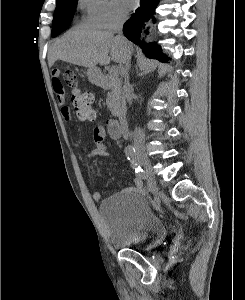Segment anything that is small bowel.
<instances>
[{"mask_svg": "<svg viewBox=\"0 0 245 300\" xmlns=\"http://www.w3.org/2000/svg\"><path fill=\"white\" fill-rule=\"evenodd\" d=\"M52 88L56 95L57 103L59 104L60 113L62 118L65 121H71L72 113L68 106H66V99L62 81L57 74H53L52 78ZM108 134L112 139L119 140L123 137V133L120 129L118 121L114 119L107 120L106 122H98L94 129V140L97 145V149L94 151V155L96 156H104L110 157L111 152L107 149L104 144V138ZM130 191L136 193H143L144 187L143 182L139 178H135L134 186L129 188ZM92 198L95 201H99L101 199V193L99 191H94L92 193Z\"/></svg>", "mask_w": 245, "mask_h": 300, "instance_id": "small-bowel-1", "label": "small bowel"}]
</instances>
